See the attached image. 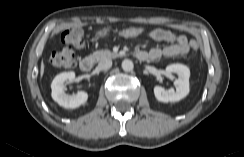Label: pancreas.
Instances as JSON below:
<instances>
[{"mask_svg":"<svg viewBox=\"0 0 244 157\" xmlns=\"http://www.w3.org/2000/svg\"><path fill=\"white\" fill-rule=\"evenodd\" d=\"M118 54L111 52L110 50H98L95 51L90 55V58L93 59L96 62L105 60V59H114L117 58Z\"/></svg>","mask_w":244,"mask_h":157,"instance_id":"pancreas-1","label":"pancreas"}]
</instances>
